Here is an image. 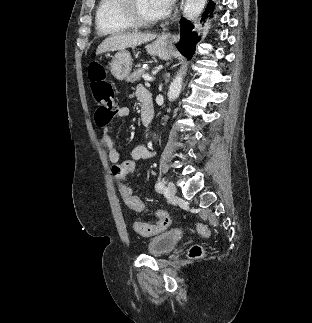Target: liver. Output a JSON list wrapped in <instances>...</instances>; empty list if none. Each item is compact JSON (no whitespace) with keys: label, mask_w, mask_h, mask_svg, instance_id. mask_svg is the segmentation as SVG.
<instances>
[{"label":"liver","mask_w":312,"mask_h":323,"mask_svg":"<svg viewBox=\"0 0 312 323\" xmlns=\"http://www.w3.org/2000/svg\"><path fill=\"white\" fill-rule=\"evenodd\" d=\"M155 34H112L109 38H105L102 44L96 50V56L105 54V52H116V50H125V48H135L146 42L155 40Z\"/></svg>","instance_id":"obj_1"}]
</instances>
